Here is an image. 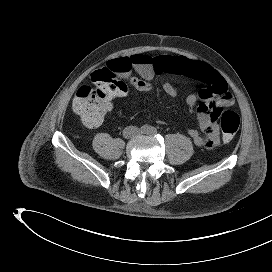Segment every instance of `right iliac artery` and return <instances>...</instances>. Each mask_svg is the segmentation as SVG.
I'll return each instance as SVG.
<instances>
[{"mask_svg": "<svg viewBox=\"0 0 272 272\" xmlns=\"http://www.w3.org/2000/svg\"><path fill=\"white\" fill-rule=\"evenodd\" d=\"M150 127L148 125H143L141 127V133H149Z\"/></svg>", "mask_w": 272, "mask_h": 272, "instance_id": "82829eb1", "label": "right iliac artery"}]
</instances>
